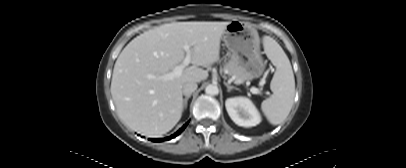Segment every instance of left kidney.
<instances>
[{
    "mask_svg": "<svg viewBox=\"0 0 406 168\" xmlns=\"http://www.w3.org/2000/svg\"><path fill=\"white\" fill-rule=\"evenodd\" d=\"M225 107L230 118L239 126L252 127L261 122V116L257 108L248 98H228Z\"/></svg>",
    "mask_w": 406,
    "mask_h": 168,
    "instance_id": "1",
    "label": "left kidney"
}]
</instances>
